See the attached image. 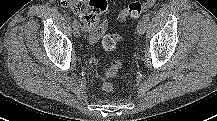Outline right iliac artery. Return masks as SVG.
<instances>
[{
  "label": "right iliac artery",
  "mask_w": 217,
  "mask_h": 121,
  "mask_svg": "<svg viewBox=\"0 0 217 121\" xmlns=\"http://www.w3.org/2000/svg\"><path fill=\"white\" fill-rule=\"evenodd\" d=\"M72 26H73V27H77V26H79V24H78V22H77L76 20H74V21L72 22Z\"/></svg>",
  "instance_id": "obj_1"
}]
</instances>
